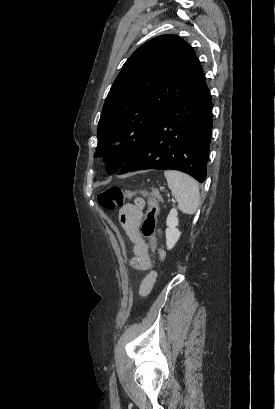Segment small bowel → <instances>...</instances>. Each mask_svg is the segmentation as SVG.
Here are the masks:
<instances>
[{
  "label": "small bowel",
  "mask_w": 275,
  "mask_h": 409,
  "mask_svg": "<svg viewBox=\"0 0 275 409\" xmlns=\"http://www.w3.org/2000/svg\"><path fill=\"white\" fill-rule=\"evenodd\" d=\"M146 202L143 198L137 197L133 202L124 205L119 212V219L124 228L131 244L133 258L131 260L132 266L138 271H147L152 266V259L148 251V245L140 232V226L144 217ZM166 255L164 249L161 250L160 256L163 258ZM154 278L147 275L139 288L141 295H146L150 292Z\"/></svg>",
  "instance_id": "small-bowel-1"
}]
</instances>
